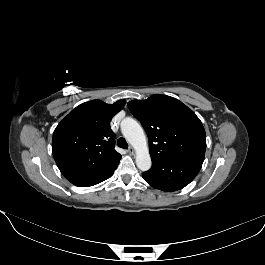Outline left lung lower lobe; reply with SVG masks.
Wrapping results in <instances>:
<instances>
[{
	"label": "left lung lower lobe",
	"instance_id": "left-lung-lower-lobe-1",
	"mask_svg": "<svg viewBox=\"0 0 265 265\" xmlns=\"http://www.w3.org/2000/svg\"><path fill=\"white\" fill-rule=\"evenodd\" d=\"M204 156L205 152H196L153 161L152 168L143 173V178L151 186L162 191L180 190L199 173Z\"/></svg>",
	"mask_w": 265,
	"mask_h": 265
}]
</instances>
